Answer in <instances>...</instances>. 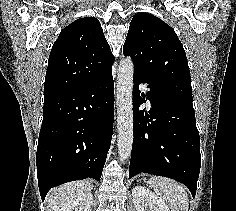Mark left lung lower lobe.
<instances>
[{
	"label": "left lung lower lobe",
	"mask_w": 236,
	"mask_h": 211,
	"mask_svg": "<svg viewBox=\"0 0 236 211\" xmlns=\"http://www.w3.org/2000/svg\"><path fill=\"white\" fill-rule=\"evenodd\" d=\"M133 146L129 177L146 172L172 178L185 184L192 196L196 194L201 156L195 112L190 101L134 73ZM147 83L150 91L149 112L139 110L146 95L139 84ZM146 98V99H147Z\"/></svg>",
	"instance_id": "left-lung-lower-lobe-1"
}]
</instances>
